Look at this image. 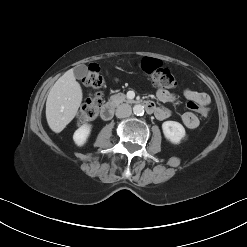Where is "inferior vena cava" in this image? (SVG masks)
<instances>
[{"mask_svg":"<svg viewBox=\"0 0 247 247\" xmlns=\"http://www.w3.org/2000/svg\"><path fill=\"white\" fill-rule=\"evenodd\" d=\"M131 113H132V109L129 104H121L116 109V117L118 118L129 117Z\"/></svg>","mask_w":247,"mask_h":247,"instance_id":"obj_1","label":"inferior vena cava"}]
</instances>
